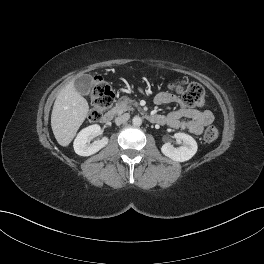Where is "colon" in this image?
Wrapping results in <instances>:
<instances>
[{
  "instance_id": "5ec220e1",
  "label": "colon",
  "mask_w": 264,
  "mask_h": 264,
  "mask_svg": "<svg viewBox=\"0 0 264 264\" xmlns=\"http://www.w3.org/2000/svg\"><path fill=\"white\" fill-rule=\"evenodd\" d=\"M172 91L181 95L183 104L187 106H202L204 104V89L198 83H189L184 80H174L169 83ZM115 93L109 83L101 76H96L91 92V108L89 120L98 121L104 111L112 106ZM219 136V130L215 126H209L204 132V140L215 141Z\"/></svg>"
}]
</instances>
